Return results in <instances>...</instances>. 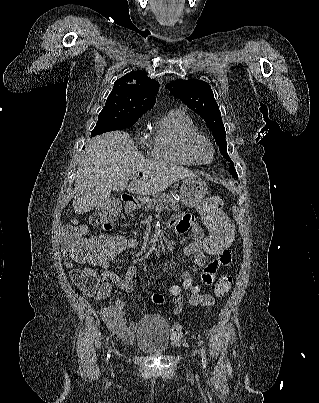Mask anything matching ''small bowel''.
Instances as JSON below:
<instances>
[{"mask_svg": "<svg viewBox=\"0 0 319 403\" xmlns=\"http://www.w3.org/2000/svg\"><path fill=\"white\" fill-rule=\"evenodd\" d=\"M202 204V203H201ZM200 204V205H201ZM199 205V210H200ZM170 225L174 227L178 234H185L190 231L192 236V242L187 244L183 248V252L186 255L194 256V263L202 271L203 284L205 286H210L214 279L217 271L221 267H225L231 262V257L233 252L231 249L224 248L220 251V257L215 258L213 264H206L202 266L200 261L204 255L206 246V237L204 235L203 229L196 223L194 216L191 214H177L173 216L170 221ZM87 239V237H85ZM65 265L67 268H72L73 264L67 260L68 255L65 252ZM114 258H99L97 260L86 261L89 265L94 268L100 269L98 273L99 281L102 285L96 286V291L94 292L95 300H108L109 294L113 293V286L107 285L108 283H113L117 286L123 293H131L134 290L133 279L137 273L136 265L132 264L128 267L124 276H119L118 274L110 271V261ZM83 269V268H82ZM182 275H191L188 271H184ZM178 291H169L170 297L173 303V312L175 314L180 313L183 306L181 303L188 301L192 306H213L215 301L210 294L202 292L201 296H193L192 300H178ZM125 300L124 298H118L113 304L105 306L101 309V317L105 324L112 331L113 335H117L125 343H133L135 340V334L138 330V325L135 323H129L124 315Z\"/></svg>", "mask_w": 319, "mask_h": 403, "instance_id": "small-bowel-1", "label": "small bowel"}]
</instances>
